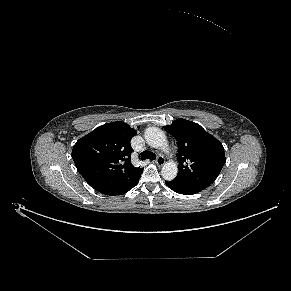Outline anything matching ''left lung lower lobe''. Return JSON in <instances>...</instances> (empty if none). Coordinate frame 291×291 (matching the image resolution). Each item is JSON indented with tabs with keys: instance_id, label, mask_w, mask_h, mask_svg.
I'll use <instances>...</instances> for the list:
<instances>
[{
	"instance_id": "left-lung-lower-lobe-1",
	"label": "left lung lower lobe",
	"mask_w": 291,
	"mask_h": 291,
	"mask_svg": "<svg viewBox=\"0 0 291 291\" xmlns=\"http://www.w3.org/2000/svg\"><path fill=\"white\" fill-rule=\"evenodd\" d=\"M165 183L170 189L179 194L192 195L207 188L212 183V181L204 180L190 182L175 178L172 181H165Z\"/></svg>"
}]
</instances>
